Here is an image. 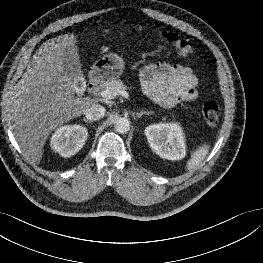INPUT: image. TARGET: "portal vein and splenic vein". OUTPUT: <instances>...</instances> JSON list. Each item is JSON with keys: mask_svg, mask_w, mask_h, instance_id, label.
Wrapping results in <instances>:
<instances>
[{"mask_svg": "<svg viewBox=\"0 0 263 263\" xmlns=\"http://www.w3.org/2000/svg\"><path fill=\"white\" fill-rule=\"evenodd\" d=\"M117 95H121L122 97L124 98H129V94L127 91L125 90H110V89H106V90H103L101 92V96L106 99V100H109V99H113L115 98Z\"/></svg>", "mask_w": 263, "mask_h": 263, "instance_id": "portal-vein-and-splenic-vein-1", "label": "portal vein and splenic vein"}]
</instances>
